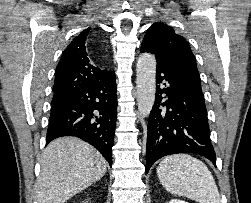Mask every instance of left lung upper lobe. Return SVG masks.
I'll return each mask as SVG.
<instances>
[{
  "instance_id": "5c2ea615",
  "label": "left lung upper lobe",
  "mask_w": 251,
  "mask_h": 203,
  "mask_svg": "<svg viewBox=\"0 0 251 203\" xmlns=\"http://www.w3.org/2000/svg\"><path fill=\"white\" fill-rule=\"evenodd\" d=\"M141 49L155 54L157 61L170 63L180 68L201 86L196 59L189 43L174 29L156 22L146 32Z\"/></svg>"
}]
</instances>
